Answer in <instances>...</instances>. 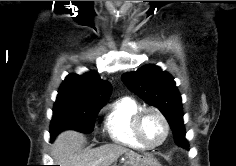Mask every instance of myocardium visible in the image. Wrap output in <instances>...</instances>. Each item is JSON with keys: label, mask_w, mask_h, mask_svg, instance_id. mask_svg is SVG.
Listing matches in <instances>:
<instances>
[{"label": "myocardium", "mask_w": 236, "mask_h": 166, "mask_svg": "<svg viewBox=\"0 0 236 166\" xmlns=\"http://www.w3.org/2000/svg\"><path fill=\"white\" fill-rule=\"evenodd\" d=\"M154 113L156 114L160 120L162 121L163 125H164V136L163 138L161 139V141H159L158 143L156 144H150L148 143L143 135H142V132H141V123H142V120L144 118V116L147 114V113ZM133 130H134V134L137 138V140L145 147V148H148V149H155L157 147H160L161 145H163L165 143V141L168 139V136H169V133H170V125H169V122L166 118V116L162 113L161 110H159L158 108L156 107H145V108H142L140 109L136 115L134 116V119H133Z\"/></svg>", "instance_id": "myocardium-1"}]
</instances>
